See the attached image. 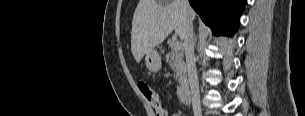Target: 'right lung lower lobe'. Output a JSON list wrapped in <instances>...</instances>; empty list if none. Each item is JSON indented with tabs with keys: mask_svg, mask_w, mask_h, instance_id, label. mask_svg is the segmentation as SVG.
I'll list each match as a JSON object with an SVG mask.
<instances>
[{
	"mask_svg": "<svg viewBox=\"0 0 305 116\" xmlns=\"http://www.w3.org/2000/svg\"><path fill=\"white\" fill-rule=\"evenodd\" d=\"M246 0H189L214 34L232 36L238 29L239 17Z\"/></svg>",
	"mask_w": 305,
	"mask_h": 116,
	"instance_id": "1",
	"label": "right lung lower lobe"
}]
</instances>
